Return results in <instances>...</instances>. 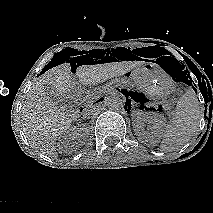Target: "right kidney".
<instances>
[{"mask_svg":"<svg viewBox=\"0 0 213 213\" xmlns=\"http://www.w3.org/2000/svg\"><path fill=\"white\" fill-rule=\"evenodd\" d=\"M81 132H84L80 134ZM63 139H75V138H85L88 137L87 127L85 125L74 127L67 132H65L62 136Z\"/></svg>","mask_w":213,"mask_h":213,"instance_id":"ca27d5eb","label":"right kidney"}]
</instances>
